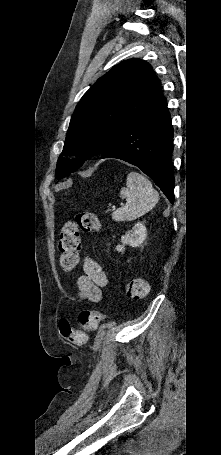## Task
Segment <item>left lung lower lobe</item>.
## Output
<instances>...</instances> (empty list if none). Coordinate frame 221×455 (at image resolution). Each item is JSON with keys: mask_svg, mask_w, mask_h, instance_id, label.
Returning <instances> with one entry per match:
<instances>
[{"mask_svg": "<svg viewBox=\"0 0 221 455\" xmlns=\"http://www.w3.org/2000/svg\"><path fill=\"white\" fill-rule=\"evenodd\" d=\"M173 135L167 100L162 96L150 110L126 126L100 155L139 167L173 203Z\"/></svg>", "mask_w": 221, "mask_h": 455, "instance_id": "0a47b994", "label": "left lung lower lobe"}]
</instances>
